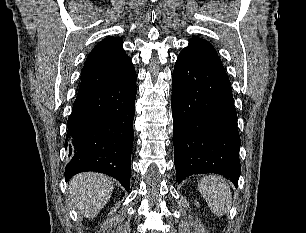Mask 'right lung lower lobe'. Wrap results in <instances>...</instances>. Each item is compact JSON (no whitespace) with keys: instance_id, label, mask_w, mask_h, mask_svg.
I'll use <instances>...</instances> for the list:
<instances>
[{"instance_id":"obj_1","label":"right lung lower lobe","mask_w":306,"mask_h":233,"mask_svg":"<svg viewBox=\"0 0 306 233\" xmlns=\"http://www.w3.org/2000/svg\"><path fill=\"white\" fill-rule=\"evenodd\" d=\"M136 92L132 67L116 82L77 95L67 121L66 180L95 171L116 178L129 190Z\"/></svg>"}]
</instances>
